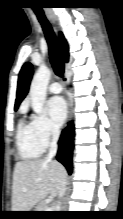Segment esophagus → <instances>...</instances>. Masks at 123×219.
Masks as SVG:
<instances>
[{"mask_svg":"<svg viewBox=\"0 0 123 219\" xmlns=\"http://www.w3.org/2000/svg\"><path fill=\"white\" fill-rule=\"evenodd\" d=\"M50 16L53 19V16L52 15H50ZM53 21H54V19H53ZM71 117H72V101H71L70 96H68V118L71 119Z\"/></svg>","mask_w":123,"mask_h":219,"instance_id":"obj_1","label":"esophagus"}]
</instances>
